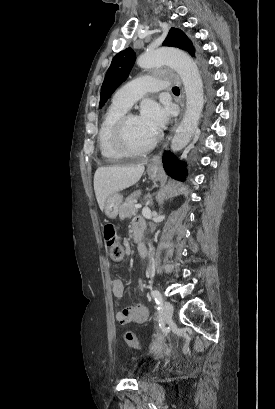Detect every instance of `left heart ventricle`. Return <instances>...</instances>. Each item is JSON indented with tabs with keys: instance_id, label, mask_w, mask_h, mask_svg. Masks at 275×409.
<instances>
[{
	"instance_id": "left-heart-ventricle-1",
	"label": "left heart ventricle",
	"mask_w": 275,
	"mask_h": 409,
	"mask_svg": "<svg viewBox=\"0 0 275 409\" xmlns=\"http://www.w3.org/2000/svg\"><path fill=\"white\" fill-rule=\"evenodd\" d=\"M128 135L131 145L136 148L145 147L155 137L145 128L139 117H133L130 119Z\"/></svg>"
}]
</instances>
